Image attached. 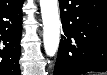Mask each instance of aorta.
Masks as SVG:
<instances>
[{"instance_id": "aorta-1", "label": "aorta", "mask_w": 107, "mask_h": 75, "mask_svg": "<svg viewBox=\"0 0 107 75\" xmlns=\"http://www.w3.org/2000/svg\"><path fill=\"white\" fill-rule=\"evenodd\" d=\"M43 20L44 49L49 57H53L60 42V18L58 13V0H40Z\"/></svg>"}]
</instances>
